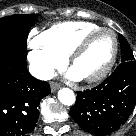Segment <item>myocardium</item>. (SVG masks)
Segmentation results:
<instances>
[{
  "label": "myocardium",
  "mask_w": 136,
  "mask_h": 136,
  "mask_svg": "<svg viewBox=\"0 0 136 136\" xmlns=\"http://www.w3.org/2000/svg\"><path fill=\"white\" fill-rule=\"evenodd\" d=\"M104 33H109L113 37L114 47H113L112 55H111L109 61L107 62V64L102 69H100L98 72H96V73H94L92 75H89V76L82 77L86 82L94 83V82L101 81L113 69V67H114V65L116 63L117 57H118V52H119V41H118L116 33L113 30L107 29V28H101V29H99L97 31H94V32L88 34L87 36H85L75 46V48L72 50V52L69 54V64H70L71 67H73L75 62L77 61V59L88 49L90 44L98 36H100V35H102Z\"/></svg>",
  "instance_id": "f54148a6"
}]
</instances>
